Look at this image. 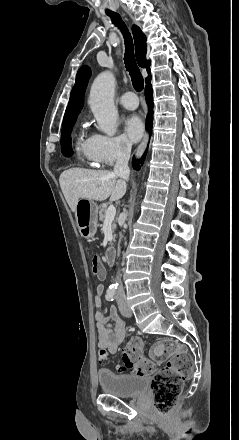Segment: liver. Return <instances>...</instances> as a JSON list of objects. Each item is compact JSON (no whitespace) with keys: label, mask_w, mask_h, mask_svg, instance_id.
<instances>
[{"label":"liver","mask_w":239,"mask_h":440,"mask_svg":"<svg viewBox=\"0 0 239 440\" xmlns=\"http://www.w3.org/2000/svg\"><path fill=\"white\" fill-rule=\"evenodd\" d=\"M119 176L108 170H85V168H70L62 172L59 184L63 196L72 212H76L79 198L103 202L121 200L126 194L125 180H117Z\"/></svg>","instance_id":"liver-1"}]
</instances>
